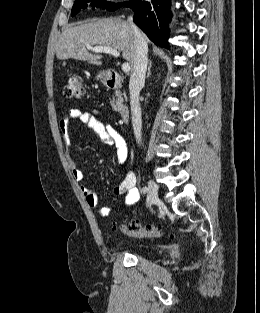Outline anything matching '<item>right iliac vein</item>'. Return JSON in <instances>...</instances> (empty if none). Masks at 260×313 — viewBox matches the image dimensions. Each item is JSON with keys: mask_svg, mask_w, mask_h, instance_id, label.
Instances as JSON below:
<instances>
[{"mask_svg": "<svg viewBox=\"0 0 260 313\" xmlns=\"http://www.w3.org/2000/svg\"><path fill=\"white\" fill-rule=\"evenodd\" d=\"M158 199V187L155 182H148V193H147V206H151L155 203H159Z\"/></svg>", "mask_w": 260, "mask_h": 313, "instance_id": "63e3f726", "label": "right iliac vein"}]
</instances>
